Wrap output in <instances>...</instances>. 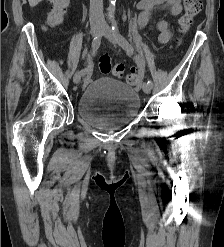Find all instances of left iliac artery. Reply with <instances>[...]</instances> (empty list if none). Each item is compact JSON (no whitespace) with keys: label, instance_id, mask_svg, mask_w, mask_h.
<instances>
[{"label":"left iliac artery","instance_id":"obj_1","mask_svg":"<svg viewBox=\"0 0 224 247\" xmlns=\"http://www.w3.org/2000/svg\"><path fill=\"white\" fill-rule=\"evenodd\" d=\"M112 30L117 34L120 46L128 53H133L134 49L132 45L119 33L118 24L116 20H112ZM147 83L152 87L153 83L148 80Z\"/></svg>","mask_w":224,"mask_h":247}]
</instances>
